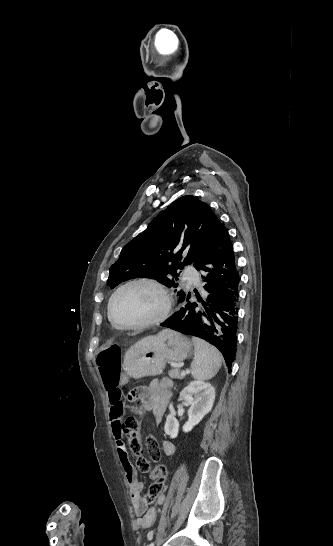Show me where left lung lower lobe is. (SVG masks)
<instances>
[{
	"label": "left lung lower lobe",
	"mask_w": 333,
	"mask_h": 546,
	"mask_svg": "<svg viewBox=\"0 0 333 546\" xmlns=\"http://www.w3.org/2000/svg\"><path fill=\"white\" fill-rule=\"evenodd\" d=\"M194 266L205 273L202 279L208 293L206 301L201 300L200 304L188 302L191 294L181 291L178 304L183 307L161 325L210 342L219 349L226 365L231 368L237 346L239 273L229 234L219 220L206 252Z\"/></svg>",
	"instance_id": "obj_1"
}]
</instances>
